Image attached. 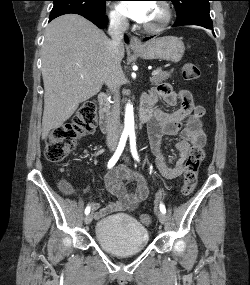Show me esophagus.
I'll list each match as a JSON object with an SVG mask.
<instances>
[{"label": "esophagus", "instance_id": "34e87169", "mask_svg": "<svg viewBox=\"0 0 250 285\" xmlns=\"http://www.w3.org/2000/svg\"><path fill=\"white\" fill-rule=\"evenodd\" d=\"M130 47L133 50H138V49H142L143 46H142L141 40L138 37L132 36L130 39Z\"/></svg>", "mask_w": 250, "mask_h": 285}]
</instances>
